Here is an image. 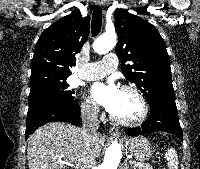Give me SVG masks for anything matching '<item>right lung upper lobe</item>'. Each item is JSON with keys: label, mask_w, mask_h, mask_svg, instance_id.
<instances>
[{"label": "right lung upper lobe", "mask_w": 200, "mask_h": 169, "mask_svg": "<svg viewBox=\"0 0 200 169\" xmlns=\"http://www.w3.org/2000/svg\"><path fill=\"white\" fill-rule=\"evenodd\" d=\"M89 17L80 11L62 17L48 27L36 43L31 62L30 87L44 81L64 80L76 65L75 54L88 39Z\"/></svg>", "instance_id": "obj_1"}]
</instances>
